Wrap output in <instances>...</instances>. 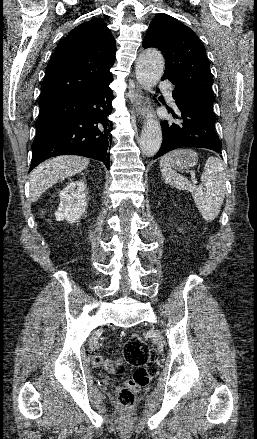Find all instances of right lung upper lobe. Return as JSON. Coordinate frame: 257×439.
Listing matches in <instances>:
<instances>
[{
	"label": "right lung upper lobe",
	"mask_w": 257,
	"mask_h": 439,
	"mask_svg": "<svg viewBox=\"0 0 257 439\" xmlns=\"http://www.w3.org/2000/svg\"><path fill=\"white\" fill-rule=\"evenodd\" d=\"M116 42L101 19L70 31L58 44L46 67L39 105L84 91L112 78Z\"/></svg>",
	"instance_id": "obj_1"
}]
</instances>
